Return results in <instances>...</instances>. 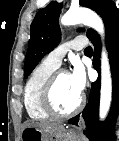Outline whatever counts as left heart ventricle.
<instances>
[{
  "label": "left heart ventricle",
  "instance_id": "1",
  "mask_svg": "<svg viewBox=\"0 0 119 141\" xmlns=\"http://www.w3.org/2000/svg\"><path fill=\"white\" fill-rule=\"evenodd\" d=\"M53 99L60 111H69L77 105L80 95L75 91L68 74H61L58 77Z\"/></svg>",
  "mask_w": 119,
  "mask_h": 141
}]
</instances>
